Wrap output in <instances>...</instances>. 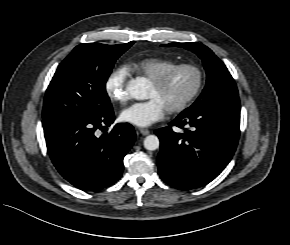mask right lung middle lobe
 Instances as JSON below:
<instances>
[{"instance_id":"obj_1","label":"right lung middle lobe","mask_w":290,"mask_h":245,"mask_svg":"<svg viewBox=\"0 0 290 245\" xmlns=\"http://www.w3.org/2000/svg\"><path fill=\"white\" fill-rule=\"evenodd\" d=\"M126 44H80L58 66L46 91L43 121L102 116L112 110L105 90L116 60Z\"/></svg>"}]
</instances>
